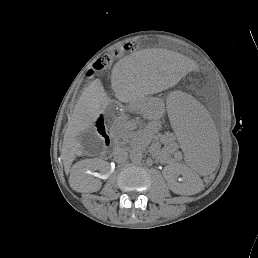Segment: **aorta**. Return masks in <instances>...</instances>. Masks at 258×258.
Instances as JSON below:
<instances>
[{"label": "aorta", "instance_id": "obj_1", "mask_svg": "<svg viewBox=\"0 0 258 258\" xmlns=\"http://www.w3.org/2000/svg\"><path fill=\"white\" fill-rule=\"evenodd\" d=\"M130 159L134 163H140L142 160V153L138 150H132L130 153Z\"/></svg>", "mask_w": 258, "mask_h": 258}]
</instances>
